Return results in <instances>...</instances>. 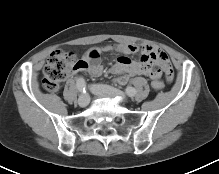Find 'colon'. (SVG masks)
<instances>
[{
  "mask_svg": "<svg viewBox=\"0 0 219 174\" xmlns=\"http://www.w3.org/2000/svg\"><path fill=\"white\" fill-rule=\"evenodd\" d=\"M99 52L92 50L87 53V56L97 57ZM81 60H77L75 52L57 50L49 56L43 69V87L49 91H57L65 78L74 70L79 68ZM154 91H161L164 88V83L161 80L152 82Z\"/></svg>",
  "mask_w": 219,
  "mask_h": 174,
  "instance_id": "1",
  "label": "colon"
}]
</instances>
